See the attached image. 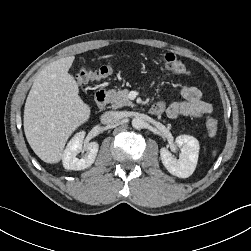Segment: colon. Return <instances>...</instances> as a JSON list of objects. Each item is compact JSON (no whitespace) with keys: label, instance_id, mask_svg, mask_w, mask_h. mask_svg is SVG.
Masks as SVG:
<instances>
[{"label":"colon","instance_id":"obj_1","mask_svg":"<svg viewBox=\"0 0 251 251\" xmlns=\"http://www.w3.org/2000/svg\"><path fill=\"white\" fill-rule=\"evenodd\" d=\"M163 65L167 70L174 71L179 74H188L189 69L178 59L173 53H167L163 56ZM112 73L111 65H102L99 67H90L82 65L76 73V80L80 85H87L106 79ZM206 127L209 136L214 137L217 134L218 123L213 117H209L206 121Z\"/></svg>","mask_w":251,"mask_h":251}]
</instances>
